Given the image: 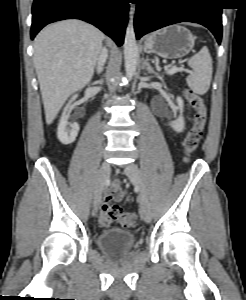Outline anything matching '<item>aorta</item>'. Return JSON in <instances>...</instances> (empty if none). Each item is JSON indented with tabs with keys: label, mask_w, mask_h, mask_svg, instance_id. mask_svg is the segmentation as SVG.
I'll use <instances>...</instances> for the list:
<instances>
[{
	"label": "aorta",
	"mask_w": 246,
	"mask_h": 300,
	"mask_svg": "<svg viewBox=\"0 0 246 300\" xmlns=\"http://www.w3.org/2000/svg\"><path fill=\"white\" fill-rule=\"evenodd\" d=\"M133 18L134 8L131 7L124 39L125 73L128 79H131L135 75L138 61V45L136 42Z\"/></svg>",
	"instance_id": "aorta-1"
}]
</instances>
